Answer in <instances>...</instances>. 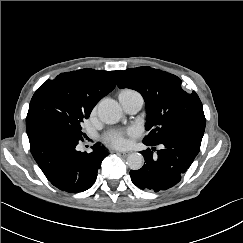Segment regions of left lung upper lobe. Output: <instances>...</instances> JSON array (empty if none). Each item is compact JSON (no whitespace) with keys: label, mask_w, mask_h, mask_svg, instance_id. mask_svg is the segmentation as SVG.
<instances>
[{"label":"left lung upper lobe","mask_w":243,"mask_h":243,"mask_svg":"<svg viewBox=\"0 0 243 243\" xmlns=\"http://www.w3.org/2000/svg\"><path fill=\"white\" fill-rule=\"evenodd\" d=\"M119 88L141 93L147 111L148 135L143 142L157 144L178 125L190 120H205L202 103L193 91L187 93L181 80L151 67L124 70Z\"/></svg>","instance_id":"1"}]
</instances>
